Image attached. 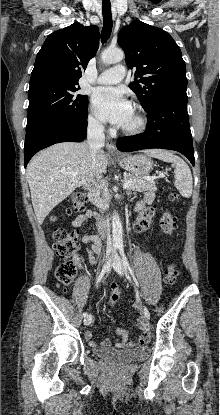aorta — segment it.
I'll return each instance as SVG.
<instances>
[{
  "instance_id": "762f6f07",
  "label": "aorta",
  "mask_w": 220,
  "mask_h": 415,
  "mask_svg": "<svg viewBox=\"0 0 220 415\" xmlns=\"http://www.w3.org/2000/svg\"><path fill=\"white\" fill-rule=\"evenodd\" d=\"M101 58L105 64L118 63L124 59V52L118 48H108L102 52ZM112 235L115 245L118 246L123 243V229L117 213L112 216Z\"/></svg>"
}]
</instances>
